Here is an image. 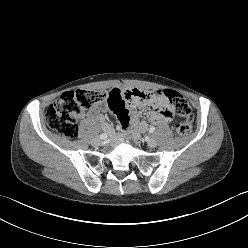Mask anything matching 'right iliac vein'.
<instances>
[{
  "instance_id": "1",
  "label": "right iliac vein",
  "mask_w": 248,
  "mask_h": 248,
  "mask_svg": "<svg viewBox=\"0 0 248 248\" xmlns=\"http://www.w3.org/2000/svg\"><path fill=\"white\" fill-rule=\"evenodd\" d=\"M102 143V140L100 138H96L92 141V144L95 146H99Z\"/></svg>"
}]
</instances>
